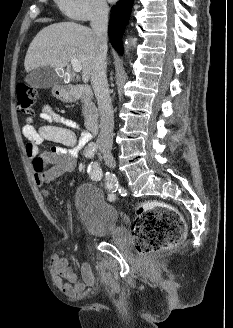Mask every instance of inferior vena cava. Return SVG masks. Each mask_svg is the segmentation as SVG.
I'll list each match as a JSON object with an SVG mask.
<instances>
[{"mask_svg":"<svg viewBox=\"0 0 233 328\" xmlns=\"http://www.w3.org/2000/svg\"><path fill=\"white\" fill-rule=\"evenodd\" d=\"M108 5L98 1L93 9L90 25L96 35L97 50L91 67V84L97 99L101 130L97 147L103 154L110 153L113 146L114 113L106 77Z\"/></svg>","mask_w":233,"mask_h":328,"instance_id":"1","label":"inferior vena cava"}]
</instances>
